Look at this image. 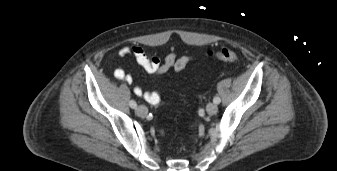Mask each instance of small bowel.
Returning a JSON list of instances; mask_svg holds the SVG:
<instances>
[{"label": "small bowel", "mask_w": 337, "mask_h": 171, "mask_svg": "<svg viewBox=\"0 0 337 171\" xmlns=\"http://www.w3.org/2000/svg\"><path fill=\"white\" fill-rule=\"evenodd\" d=\"M120 58L133 57L136 62L151 75H162L173 70L175 73L183 71L186 66L196 59V55H184L178 57L175 52L168 53L164 60L157 55H149L143 48L138 45H130L122 48L118 53ZM114 76L117 80L131 84L133 82L132 75L122 66H117L114 70ZM134 93L143 97L147 102L156 104L160 101V95L156 91H144L141 87H135Z\"/></svg>", "instance_id": "obj_1"}]
</instances>
